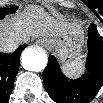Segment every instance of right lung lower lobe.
I'll return each mask as SVG.
<instances>
[{
    "label": "right lung lower lobe",
    "instance_id": "1",
    "mask_svg": "<svg viewBox=\"0 0 103 103\" xmlns=\"http://www.w3.org/2000/svg\"><path fill=\"white\" fill-rule=\"evenodd\" d=\"M26 44L20 46L15 52L0 53V96L7 99L13 89L15 77L19 69L20 55Z\"/></svg>",
    "mask_w": 103,
    "mask_h": 103
}]
</instances>
